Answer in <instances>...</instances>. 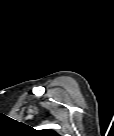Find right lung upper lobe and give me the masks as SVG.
<instances>
[{"mask_svg":"<svg viewBox=\"0 0 114 136\" xmlns=\"http://www.w3.org/2000/svg\"><path fill=\"white\" fill-rule=\"evenodd\" d=\"M42 132H45L48 135H56V133L53 130H42Z\"/></svg>","mask_w":114,"mask_h":136,"instance_id":"right-lung-upper-lobe-1","label":"right lung upper lobe"}]
</instances>
